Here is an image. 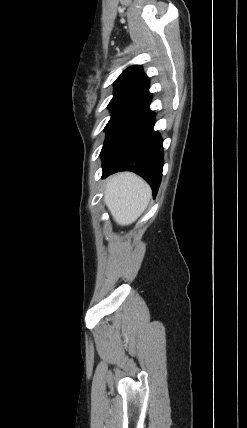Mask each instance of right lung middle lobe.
Instances as JSON below:
<instances>
[{
    "instance_id": "dd1d6c3e",
    "label": "right lung middle lobe",
    "mask_w": 247,
    "mask_h": 428,
    "mask_svg": "<svg viewBox=\"0 0 247 428\" xmlns=\"http://www.w3.org/2000/svg\"><path fill=\"white\" fill-rule=\"evenodd\" d=\"M139 95L130 92H114V96L110 101L108 108L111 111V119L105 129L116 119V117L124 111Z\"/></svg>"
}]
</instances>
